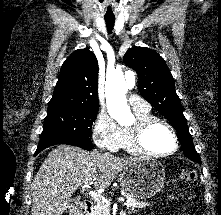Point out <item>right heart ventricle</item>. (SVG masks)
<instances>
[{
	"instance_id": "right-heart-ventricle-1",
	"label": "right heart ventricle",
	"mask_w": 221,
	"mask_h": 215,
	"mask_svg": "<svg viewBox=\"0 0 221 215\" xmlns=\"http://www.w3.org/2000/svg\"><path fill=\"white\" fill-rule=\"evenodd\" d=\"M137 120L147 119L152 117L150 109L146 111H134ZM121 148H123L126 152L131 154H136L137 152L132 148L130 142V128H125L122 130V141Z\"/></svg>"
}]
</instances>
